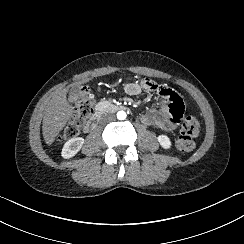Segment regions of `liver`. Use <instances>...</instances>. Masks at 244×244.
I'll list each match as a JSON object with an SVG mask.
<instances>
[{"label":"liver","mask_w":244,"mask_h":244,"mask_svg":"<svg viewBox=\"0 0 244 244\" xmlns=\"http://www.w3.org/2000/svg\"><path fill=\"white\" fill-rule=\"evenodd\" d=\"M90 79H84L82 82L86 83ZM68 88L56 93L49 102L46 114L43 117V137L46 144L51 145L55 137L63 129L66 122L73 115V109L66 99Z\"/></svg>","instance_id":"liver-1"}]
</instances>
